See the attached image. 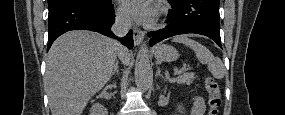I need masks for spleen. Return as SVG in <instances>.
Here are the masks:
<instances>
[{"mask_svg": "<svg viewBox=\"0 0 285 115\" xmlns=\"http://www.w3.org/2000/svg\"><path fill=\"white\" fill-rule=\"evenodd\" d=\"M173 42L182 43L190 47L195 52L197 59L202 64L208 65V70L214 78L222 79L224 77L226 70L221 59L215 57L212 52L201 43L189 38L187 35L177 36L173 39Z\"/></svg>", "mask_w": 285, "mask_h": 115, "instance_id": "obj_1", "label": "spleen"}]
</instances>
